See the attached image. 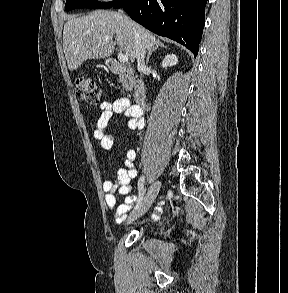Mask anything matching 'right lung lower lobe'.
I'll return each mask as SVG.
<instances>
[{"label":"right lung lower lobe","instance_id":"right-lung-lower-lobe-1","mask_svg":"<svg viewBox=\"0 0 288 293\" xmlns=\"http://www.w3.org/2000/svg\"><path fill=\"white\" fill-rule=\"evenodd\" d=\"M207 0H121L136 22L150 31L168 37L188 48L196 57L205 22Z\"/></svg>","mask_w":288,"mask_h":293}]
</instances>
